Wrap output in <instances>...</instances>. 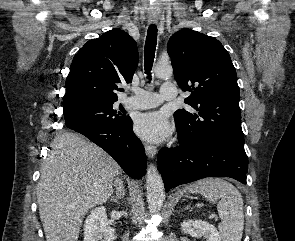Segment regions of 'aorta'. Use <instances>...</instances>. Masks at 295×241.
Returning <instances> with one entry per match:
<instances>
[{"label":"aorta","mask_w":295,"mask_h":241,"mask_svg":"<svg viewBox=\"0 0 295 241\" xmlns=\"http://www.w3.org/2000/svg\"><path fill=\"white\" fill-rule=\"evenodd\" d=\"M154 74L159 78L171 77L173 74L172 66L159 63L154 68ZM146 189L150 212L160 211L165 200V190L161 174L153 164H150L147 168Z\"/></svg>","instance_id":"762f6f07"}]
</instances>
